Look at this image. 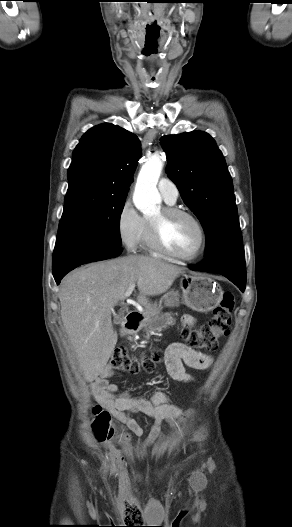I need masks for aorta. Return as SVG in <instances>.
I'll use <instances>...</instances> for the list:
<instances>
[{
    "label": "aorta",
    "instance_id": "762f6f07",
    "mask_svg": "<svg viewBox=\"0 0 292 527\" xmlns=\"http://www.w3.org/2000/svg\"><path fill=\"white\" fill-rule=\"evenodd\" d=\"M162 169V157L156 152L148 157L138 174L133 202L144 214L154 212L161 201L156 185Z\"/></svg>",
    "mask_w": 292,
    "mask_h": 527
}]
</instances>
